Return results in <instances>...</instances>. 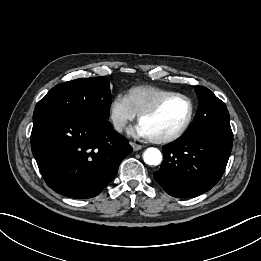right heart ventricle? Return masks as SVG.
<instances>
[{"label": "right heart ventricle", "instance_id": "e07e8e85", "mask_svg": "<svg viewBox=\"0 0 261 261\" xmlns=\"http://www.w3.org/2000/svg\"><path fill=\"white\" fill-rule=\"evenodd\" d=\"M171 92L154 86H136L128 90L126 97L136 114L151 106L161 97Z\"/></svg>", "mask_w": 261, "mask_h": 261}]
</instances>
